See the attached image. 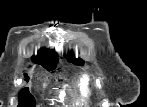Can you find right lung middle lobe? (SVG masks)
Masks as SVG:
<instances>
[{"instance_id": "right-lung-middle-lobe-1", "label": "right lung middle lobe", "mask_w": 147, "mask_h": 107, "mask_svg": "<svg viewBox=\"0 0 147 107\" xmlns=\"http://www.w3.org/2000/svg\"><path fill=\"white\" fill-rule=\"evenodd\" d=\"M47 70H53L55 66L52 67H44ZM26 79L28 80V76L25 75ZM19 106H35V99L34 97L29 93V90L27 88H24L19 93Z\"/></svg>"}]
</instances>
